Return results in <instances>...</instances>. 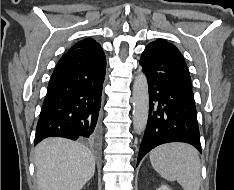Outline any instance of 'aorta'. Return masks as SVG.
Returning a JSON list of instances; mask_svg holds the SVG:
<instances>
[{"label": "aorta", "mask_w": 234, "mask_h": 190, "mask_svg": "<svg viewBox=\"0 0 234 190\" xmlns=\"http://www.w3.org/2000/svg\"><path fill=\"white\" fill-rule=\"evenodd\" d=\"M133 126L136 133L144 131L149 114L147 77L139 72L133 84Z\"/></svg>", "instance_id": "762f6f07"}]
</instances>
